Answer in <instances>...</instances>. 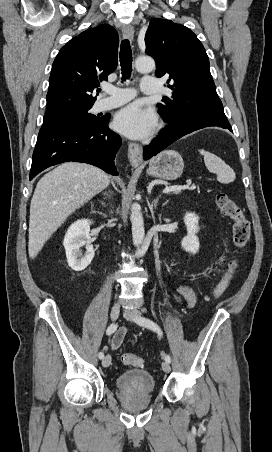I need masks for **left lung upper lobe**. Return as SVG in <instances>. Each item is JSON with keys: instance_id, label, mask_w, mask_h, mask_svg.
I'll return each mask as SVG.
<instances>
[{"instance_id": "5c2ea615", "label": "left lung upper lobe", "mask_w": 272, "mask_h": 452, "mask_svg": "<svg viewBox=\"0 0 272 452\" xmlns=\"http://www.w3.org/2000/svg\"><path fill=\"white\" fill-rule=\"evenodd\" d=\"M146 54L156 61V76L169 77L171 98L158 104L165 121L198 123L227 119L210 73L205 48L195 33L171 20L155 18L145 35Z\"/></svg>"}]
</instances>
